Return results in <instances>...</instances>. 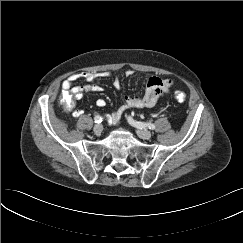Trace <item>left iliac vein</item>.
<instances>
[{
  "label": "left iliac vein",
  "mask_w": 243,
  "mask_h": 243,
  "mask_svg": "<svg viewBox=\"0 0 243 243\" xmlns=\"http://www.w3.org/2000/svg\"><path fill=\"white\" fill-rule=\"evenodd\" d=\"M137 135L142 138V139H150L151 138V133L148 130H137Z\"/></svg>",
  "instance_id": "obj_1"
}]
</instances>
